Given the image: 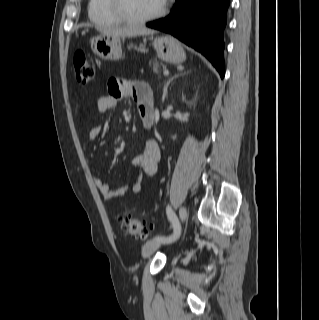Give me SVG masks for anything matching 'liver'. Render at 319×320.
<instances>
[{
  "label": "liver",
  "mask_w": 319,
  "mask_h": 320,
  "mask_svg": "<svg viewBox=\"0 0 319 320\" xmlns=\"http://www.w3.org/2000/svg\"><path fill=\"white\" fill-rule=\"evenodd\" d=\"M99 31L105 35L115 37H134L140 35H151L155 33V31L147 29L143 26L99 28Z\"/></svg>",
  "instance_id": "liver-1"
}]
</instances>
